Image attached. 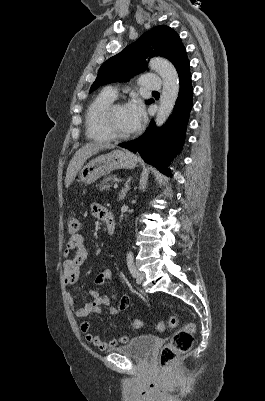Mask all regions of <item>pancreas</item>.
<instances>
[{
	"label": "pancreas",
	"mask_w": 265,
	"mask_h": 401,
	"mask_svg": "<svg viewBox=\"0 0 265 401\" xmlns=\"http://www.w3.org/2000/svg\"><path fill=\"white\" fill-rule=\"evenodd\" d=\"M115 178H117L116 174H108V176L100 180V184H96V186H98L99 190H110L112 180H115ZM109 180H111V182H109Z\"/></svg>",
	"instance_id": "cf45deb5"
}]
</instances>
